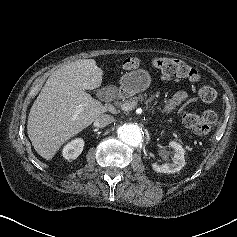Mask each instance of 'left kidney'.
I'll use <instances>...</instances> for the list:
<instances>
[{
	"mask_svg": "<svg viewBox=\"0 0 237 237\" xmlns=\"http://www.w3.org/2000/svg\"><path fill=\"white\" fill-rule=\"evenodd\" d=\"M169 147L174 152V157L171 163H165L163 165H157L156 163L152 164V168L156 172L160 173H175L180 171L185 166V150L184 148L177 142L171 141L169 143Z\"/></svg>",
	"mask_w": 237,
	"mask_h": 237,
	"instance_id": "left-kidney-1",
	"label": "left kidney"
}]
</instances>
